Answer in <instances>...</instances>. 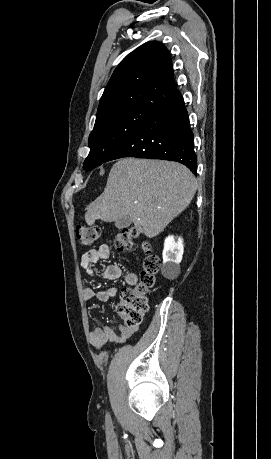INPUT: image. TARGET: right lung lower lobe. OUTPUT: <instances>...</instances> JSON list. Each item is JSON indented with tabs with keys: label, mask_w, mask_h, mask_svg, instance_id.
Listing matches in <instances>:
<instances>
[{
	"label": "right lung lower lobe",
	"mask_w": 271,
	"mask_h": 459,
	"mask_svg": "<svg viewBox=\"0 0 271 459\" xmlns=\"http://www.w3.org/2000/svg\"><path fill=\"white\" fill-rule=\"evenodd\" d=\"M193 132L181 94L135 130L107 161L136 157L179 162L197 175Z\"/></svg>",
	"instance_id": "98d812e1"
}]
</instances>
